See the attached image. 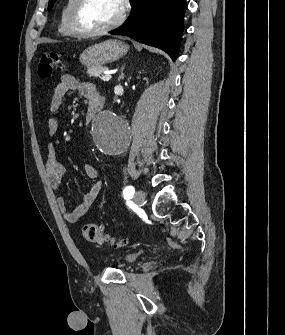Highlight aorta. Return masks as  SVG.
<instances>
[{
    "mask_svg": "<svg viewBox=\"0 0 285 335\" xmlns=\"http://www.w3.org/2000/svg\"><path fill=\"white\" fill-rule=\"evenodd\" d=\"M107 111L97 112V119L90 120L88 134L94 137L93 147H100L103 156H118L119 152H127L132 130L125 125L124 119H118L113 105H108Z\"/></svg>",
    "mask_w": 285,
    "mask_h": 335,
    "instance_id": "obj_1",
    "label": "aorta"
}]
</instances>
